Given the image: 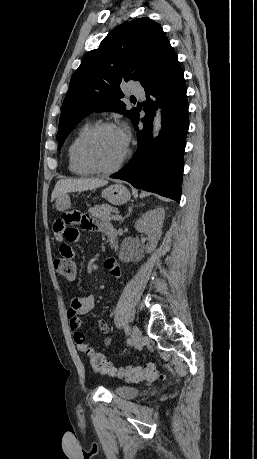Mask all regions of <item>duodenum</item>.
<instances>
[{
	"label": "duodenum",
	"instance_id": "1",
	"mask_svg": "<svg viewBox=\"0 0 257 459\" xmlns=\"http://www.w3.org/2000/svg\"><path fill=\"white\" fill-rule=\"evenodd\" d=\"M106 236L111 244H114L116 241V233L112 230L106 232Z\"/></svg>",
	"mask_w": 257,
	"mask_h": 459
}]
</instances>
